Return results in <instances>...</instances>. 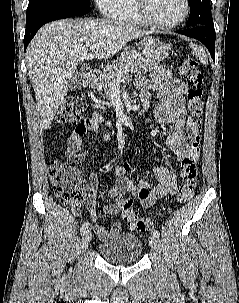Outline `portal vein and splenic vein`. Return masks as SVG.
I'll use <instances>...</instances> for the list:
<instances>
[{
    "instance_id": "portal-vein-and-splenic-vein-1",
    "label": "portal vein and splenic vein",
    "mask_w": 239,
    "mask_h": 303,
    "mask_svg": "<svg viewBox=\"0 0 239 303\" xmlns=\"http://www.w3.org/2000/svg\"><path fill=\"white\" fill-rule=\"evenodd\" d=\"M96 48H97V45H93V46H90L89 50H90L91 52H93ZM130 67H132V64H131L130 66H126L122 72H118V74H117V76H116V77H117V81H118L124 74L127 73L128 69H129Z\"/></svg>"
}]
</instances>
